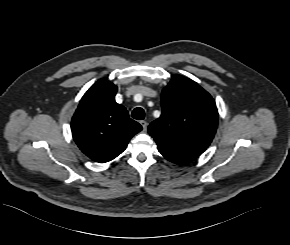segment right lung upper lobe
<instances>
[{
    "label": "right lung upper lobe",
    "instance_id": "right-lung-upper-lobe-1",
    "mask_svg": "<svg viewBox=\"0 0 290 245\" xmlns=\"http://www.w3.org/2000/svg\"><path fill=\"white\" fill-rule=\"evenodd\" d=\"M117 86L106 79L93 84L82 97L71 121L72 135L84 154L105 163L120 155L142 127L116 103Z\"/></svg>",
    "mask_w": 290,
    "mask_h": 245
}]
</instances>
